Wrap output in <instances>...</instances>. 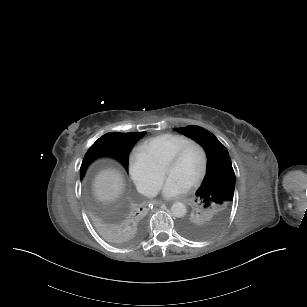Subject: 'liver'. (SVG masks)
<instances>
[{
	"mask_svg": "<svg viewBox=\"0 0 307 307\" xmlns=\"http://www.w3.org/2000/svg\"><path fill=\"white\" fill-rule=\"evenodd\" d=\"M123 189V180L116 170H103L97 175L94 190L100 200H112Z\"/></svg>",
	"mask_w": 307,
	"mask_h": 307,
	"instance_id": "liver-1",
	"label": "liver"
}]
</instances>
